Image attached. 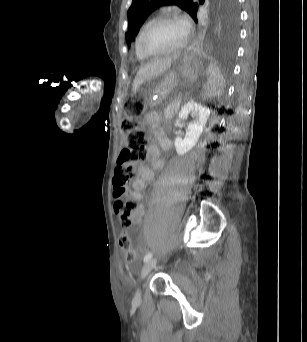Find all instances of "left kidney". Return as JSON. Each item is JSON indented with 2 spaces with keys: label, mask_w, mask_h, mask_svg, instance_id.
Listing matches in <instances>:
<instances>
[{
  "label": "left kidney",
  "mask_w": 307,
  "mask_h": 342,
  "mask_svg": "<svg viewBox=\"0 0 307 342\" xmlns=\"http://www.w3.org/2000/svg\"><path fill=\"white\" fill-rule=\"evenodd\" d=\"M192 116L194 120L190 122L184 140L182 138H175V150L179 156H184L186 152H190L196 146L210 116L209 108L197 104V102H187L181 108L178 118L179 120H187L188 116Z\"/></svg>",
  "instance_id": "5707ae66"
}]
</instances>
